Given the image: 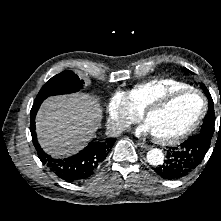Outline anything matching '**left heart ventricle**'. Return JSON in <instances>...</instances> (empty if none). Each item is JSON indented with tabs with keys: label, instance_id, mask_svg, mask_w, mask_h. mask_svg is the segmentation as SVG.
<instances>
[{
	"label": "left heart ventricle",
	"instance_id": "b2bd125f",
	"mask_svg": "<svg viewBox=\"0 0 221 221\" xmlns=\"http://www.w3.org/2000/svg\"><path fill=\"white\" fill-rule=\"evenodd\" d=\"M201 98L194 93L183 95L163 110L149 115L146 123L152 134L170 137L183 131L198 116Z\"/></svg>",
	"mask_w": 221,
	"mask_h": 221
}]
</instances>
